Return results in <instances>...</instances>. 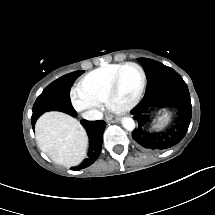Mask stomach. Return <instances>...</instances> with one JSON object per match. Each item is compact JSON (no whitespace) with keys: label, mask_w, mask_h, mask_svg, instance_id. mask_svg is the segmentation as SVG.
Instances as JSON below:
<instances>
[{"label":"stomach","mask_w":215,"mask_h":215,"mask_svg":"<svg viewBox=\"0 0 215 215\" xmlns=\"http://www.w3.org/2000/svg\"><path fill=\"white\" fill-rule=\"evenodd\" d=\"M174 117L173 112L170 109L159 111L158 113L152 114L149 119V128L152 131L160 132L166 129L172 122Z\"/></svg>","instance_id":"0dacf381"}]
</instances>
